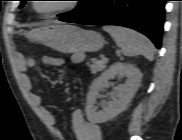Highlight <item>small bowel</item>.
I'll use <instances>...</instances> for the list:
<instances>
[{
	"mask_svg": "<svg viewBox=\"0 0 182 140\" xmlns=\"http://www.w3.org/2000/svg\"><path fill=\"white\" fill-rule=\"evenodd\" d=\"M16 62L19 71L22 74L24 85L27 89H32L33 80L29 75V70L36 67V60L25 56L23 53H18ZM42 62L49 66H62L64 60L60 57L43 56ZM33 102L39 106L40 113L45 123L51 128L53 135L57 140H64L61 132L55 127L56 118L54 114L45 106L42 105V98L38 94L32 95ZM72 129L77 140H102V133L100 127L91 121H87L84 117L83 111L76 108L71 114Z\"/></svg>",
	"mask_w": 182,
	"mask_h": 140,
	"instance_id": "small-bowel-1",
	"label": "small bowel"
}]
</instances>
